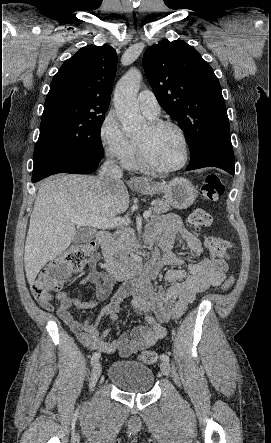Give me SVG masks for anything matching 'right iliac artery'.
<instances>
[{
	"mask_svg": "<svg viewBox=\"0 0 271 443\" xmlns=\"http://www.w3.org/2000/svg\"><path fill=\"white\" fill-rule=\"evenodd\" d=\"M100 358V353L99 352H95L92 357H91V365H93L94 363H96L98 361V359Z\"/></svg>",
	"mask_w": 271,
	"mask_h": 443,
	"instance_id": "82829eb1",
	"label": "right iliac artery"
}]
</instances>
